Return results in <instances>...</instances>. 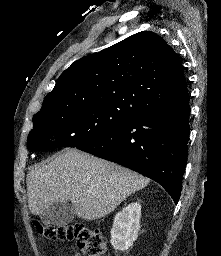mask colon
<instances>
[{"label":"colon","instance_id":"obj_1","mask_svg":"<svg viewBox=\"0 0 221 256\" xmlns=\"http://www.w3.org/2000/svg\"><path fill=\"white\" fill-rule=\"evenodd\" d=\"M39 233L50 240H76L82 256H105L107 251L103 235L86 225L43 226L35 224Z\"/></svg>","mask_w":221,"mask_h":256}]
</instances>
